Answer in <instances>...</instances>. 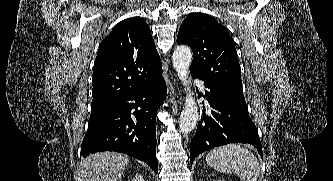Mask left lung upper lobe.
I'll use <instances>...</instances> for the list:
<instances>
[{"label": "left lung upper lobe", "instance_id": "5c2ea615", "mask_svg": "<svg viewBox=\"0 0 333 181\" xmlns=\"http://www.w3.org/2000/svg\"><path fill=\"white\" fill-rule=\"evenodd\" d=\"M177 43L188 44L193 50L192 75L221 86L234 99L246 103L234 41L224 26L209 15L192 13L182 22Z\"/></svg>", "mask_w": 333, "mask_h": 181}]
</instances>
